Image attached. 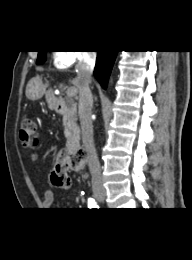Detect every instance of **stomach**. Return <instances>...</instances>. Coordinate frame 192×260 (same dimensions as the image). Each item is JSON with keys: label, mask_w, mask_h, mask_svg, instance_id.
Instances as JSON below:
<instances>
[{"label": "stomach", "mask_w": 192, "mask_h": 260, "mask_svg": "<svg viewBox=\"0 0 192 260\" xmlns=\"http://www.w3.org/2000/svg\"><path fill=\"white\" fill-rule=\"evenodd\" d=\"M44 92L45 87L43 83H31L28 87V98L31 100L40 99L44 95Z\"/></svg>", "instance_id": "1"}]
</instances>
